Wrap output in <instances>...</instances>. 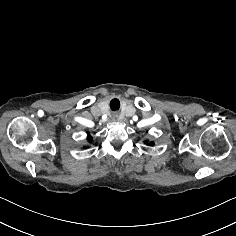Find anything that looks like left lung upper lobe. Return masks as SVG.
<instances>
[{
  "mask_svg": "<svg viewBox=\"0 0 236 236\" xmlns=\"http://www.w3.org/2000/svg\"><path fill=\"white\" fill-rule=\"evenodd\" d=\"M149 144H150V145H154V143H153V142H150Z\"/></svg>",
  "mask_w": 236,
  "mask_h": 236,
  "instance_id": "5c2ea615",
  "label": "left lung upper lobe"
}]
</instances>
